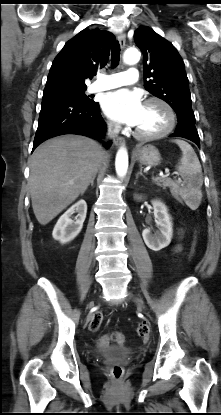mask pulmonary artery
Returning <instances> with one entry per match:
<instances>
[{"instance_id": "1", "label": "pulmonary artery", "mask_w": 221, "mask_h": 415, "mask_svg": "<svg viewBox=\"0 0 221 415\" xmlns=\"http://www.w3.org/2000/svg\"><path fill=\"white\" fill-rule=\"evenodd\" d=\"M138 80L136 68H129L124 72L103 74L89 87V92L95 93L134 84Z\"/></svg>"}]
</instances>
